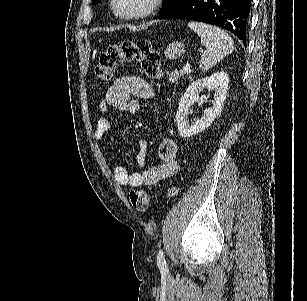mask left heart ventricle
Returning <instances> with one entry per match:
<instances>
[{
  "instance_id": "obj_1",
  "label": "left heart ventricle",
  "mask_w": 307,
  "mask_h": 301,
  "mask_svg": "<svg viewBox=\"0 0 307 301\" xmlns=\"http://www.w3.org/2000/svg\"><path fill=\"white\" fill-rule=\"evenodd\" d=\"M131 3V6L126 5L128 11H140L146 0H127Z\"/></svg>"
}]
</instances>
